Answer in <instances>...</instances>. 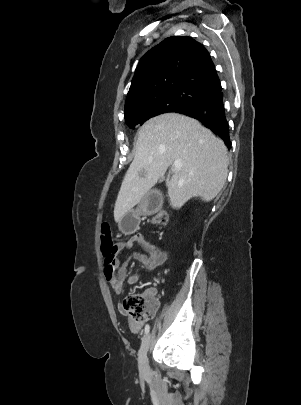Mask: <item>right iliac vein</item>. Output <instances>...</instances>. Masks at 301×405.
Listing matches in <instances>:
<instances>
[{"label":"right iliac vein","mask_w":301,"mask_h":405,"mask_svg":"<svg viewBox=\"0 0 301 405\" xmlns=\"http://www.w3.org/2000/svg\"><path fill=\"white\" fill-rule=\"evenodd\" d=\"M151 342V334H147L143 340L138 353V367L141 374L145 375L149 371L147 352Z\"/></svg>","instance_id":"obj_1"}]
</instances>
